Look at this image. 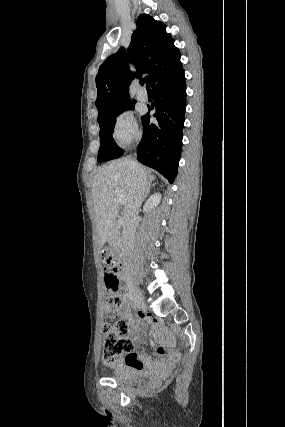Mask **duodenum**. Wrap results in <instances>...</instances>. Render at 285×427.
<instances>
[{
  "label": "duodenum",
  "instance_id": "410a0bca",
  "mask_svg": "<svg viewBox=\"0 0 285 427\" xmlns=\"http://www.w3.org/2000/svg\"><path fill=\"white\" fill-rule=\"evenodd\" d=\"M127 225H128L127 222L123 221L122 219H118L114 221V223L111 225V229L119 228L121 226H127Z\"/></svg>",
  "mask_w": 285,
  "mask_h": 427
}]
</instances>
